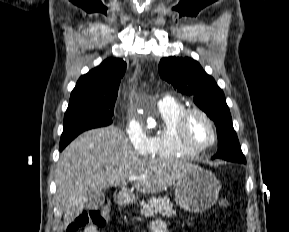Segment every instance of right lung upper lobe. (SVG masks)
I'll return each mask as SVG.
<instances>
[{
    "label": "right lung upper lobe",
    "mask_w": 289,
    "mask_h": 232,
    "mask_svg": "<svg viewBox=\"0 0 289 232\" xmlns=\"http://www.w3.org/2000/svg\"><path fill=\"white\" fill-rule=\"evenodd\" d=\"M126 63L109 58L98 67L81 76L71 93V99L79 97H117L120 79Z\"/></svg>",
    "instance_id": "1"
}]
</instances>
